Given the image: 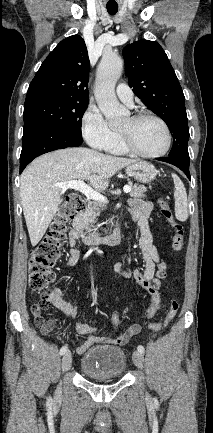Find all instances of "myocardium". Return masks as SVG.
I'll return each instance as SVG.
<instances>
[{
  "label": "myocardium",
  "mask_w": 213,
  "mask_h": 433,
  "mask_svg": "<svg viewBox=\"0 0 213 433\" xmlns=\"http://www.w3.org/2000/svg\"><path fill=\"white\" fill-rule=\"evenodd\" d=\"M130 119L134 122L141 121L144 119H151V120L158 122L162 126V128L166 134V145H165L164 149L158 153H145V152H142L139 149H137L126 134H124L122 132H118L120 142L127 153H130L132 155L142 157V158H160V157L165 156L169 152V150L172 146V134H171V130H170L169 126L161 117H159L153 113H150V112L142 111V112H138V113L133 114L130 117Z\"/></svg>",
  "instance_id": "1"
}]
</instances>
